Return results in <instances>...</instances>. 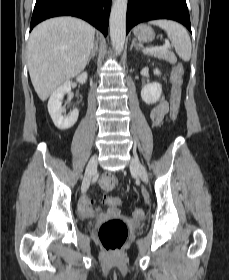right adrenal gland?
<instances>
[{"mask_svg": "<svg viewBox=\"0 0 229 280\" xmlns=\"http://www.w3.org/2000/svg\"><path fill=\"white\" fill-rule=\"evenodd\" d=\"M98 47L97 45L92 49L91 54L88 58L87 64H89L90 60L93 59L97 55Z\"/></svg>", "mask_w": 229, "mask_h": 280, "instance_id": "right-adrenal-gland-1", "label": "right adrenal gland"}]
</instances>
